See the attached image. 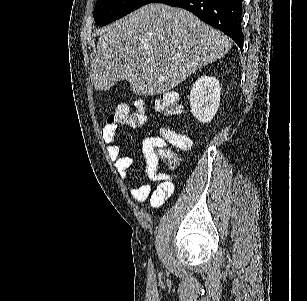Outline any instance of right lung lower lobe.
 Wrapping results in <instances>:
<instances>
[{
    "instance_id": "98d812e1",
    "label": "right lung lower lobe",
    "mask_w": 307,
    "mask_h": 301,
    "mask_svg": "<svg viewBox=\"0 0 307 301\" xmlns=\"http://www.w3.org/2000/svg\"><path fill=\"white\" fill-rule=\"evenodd\" d=\"M243 0H152L150 3H164L192 12L204 22L231 37L242 51Z\"/></svg>"
}]
</instances>
